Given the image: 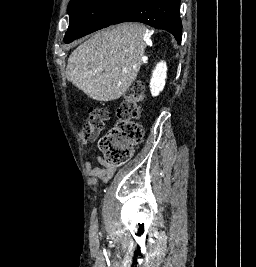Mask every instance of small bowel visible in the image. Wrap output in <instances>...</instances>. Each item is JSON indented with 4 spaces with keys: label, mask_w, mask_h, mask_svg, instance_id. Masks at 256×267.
<instances>
[{
    "label": "small bowel",
    "mask_w": 256,
    "mask_h": 267,
    "mask_svg": "<svg viewBox=\"0 0 256 267\" xmlns=\"http://www.w3.org/2000/svg\"><path fill=\"white\" fill-rule=\"evenodd\" d=\"M96 166L92 163H88L86 166V172L89 176V181L92 185L98 183L108 182L114 175L116 169L114 166L109 165L105 158L101 154H96L94 158Z\"/></svg>",
    "instance_id": "obj_1"
}]
</instances>
